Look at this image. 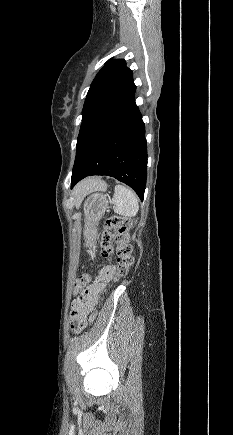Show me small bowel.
I'll list each match as a JSON object with an SVG mask.
<instances>
[{
    "mask_svg": "<svg viewBox=\"0 0 233 435\" xmlns=\"http://www.w3.org/2000/svg\"><path fill=\"white\" fill-rule=\"evenodd\" d=\"M113 275L114 268L109 265H104L97 272V283L87 287L81 286L79 280L74 283V292H80V295L72 302L71 305L70 322L73 329L78 330L86 326L88 323L89 309L97 301L96 292L98 288L109 282Z\"/></svg>",
    "mask_w": 233,
    "mask_h": 435,
    "instance_id": "c3829d8e",
    "label": "small bowel"
}]
</instances>
